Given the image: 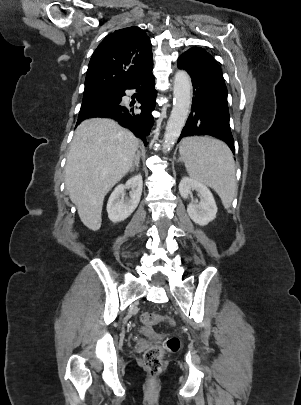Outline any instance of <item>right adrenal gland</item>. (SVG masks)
<instances>
[{"label": "right adrenal gland", "mask_w": 301, "mask_h": 405, "mask_svg": "<svg viewBox=\"0 0 301 405\" xmlns=\"http://www.w3.org/2000/svg\"><path fill=\"white\" fill-rule=\"evenodd\" d=\"M140 153L137 152V156L134 159V164L132 165L130 172H133L135 168L139 169Z\"/></svg>", "instance_id": "right-adrenal-gland-1"}]
</instances>
